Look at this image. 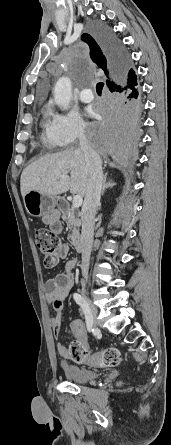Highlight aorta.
Masks as SVG:
<instances>
[{
    "label": "aorta",
    "mask_w": 171,
    "mask_h": 445,
    "mask_svg": "<svg viewBox=\"0 0 171 445\" xmlns=\"http://www.w3.org/2000/svg\"><path fill=\"white\" fill-rule=\"evenodd\" d=\"M72 97V85L68 77H61L54 87V101L63 110L69 107Z\"/></svg>",
    "instance_id": "obj_1"
}]
</instances>
